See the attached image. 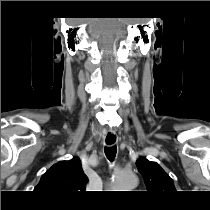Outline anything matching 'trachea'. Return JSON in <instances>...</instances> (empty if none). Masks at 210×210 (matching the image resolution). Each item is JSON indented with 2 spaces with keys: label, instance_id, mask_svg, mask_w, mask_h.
Here are the masks:
<instances>
[{
  "label": "trachea",
  "instance_id": "1",
  "mask_svg": "<svg viewBox=\"0 0 210 210\" xmlns=\"http://www.w3.org/2000/svg\"><path fill=\"white\" fill-rule=\"evenodd\" d=\"M106 157L112 162L116 156V152H117V147L116 145L112 146V147H105L104 148Z\"/></svg>",
  "mask_w": 210,
  "mask_h": 210
}]
</instances>
